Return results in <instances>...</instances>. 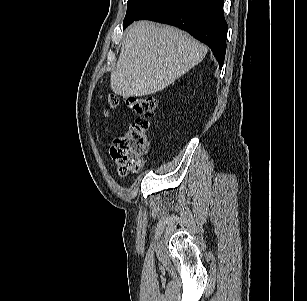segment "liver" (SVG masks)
<instances>
[{
  "mask_svg": "<svg viewBox=\"0 0 307 301\" xmlns=\"http://www.w3.org/2000/svg\"><path fill=\"white\" fill-rule=\"evenodd\" d=\"M208 49L187 33L150 21L131 25L122 43L110 86L123 97L163 90L201 62Z\"/></svg>",
  "mask_w": 307,
  "mask_h": 301,
  "instance_id": "6515ba94",
  "label": "liver"
}]
</instances>
